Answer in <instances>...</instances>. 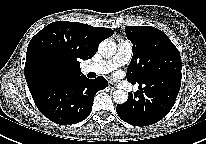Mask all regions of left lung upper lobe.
<instances>
[{"instance_id":"obj_1","label":"left lung upper lobe","mask_w":206,"mask_h":144,"mask_svg":"<svg viewBox=\"0 0 206 144\" xmlns=\"http://www.w3.org/2000/svg\"><path fill=\"white\" fill-rule=\"evenodd\" d=\"M127 38L133 43V57L127 80L145 88L181 85V57L165 33L151 26H127Z\"/></svg>"}]
</instances>
